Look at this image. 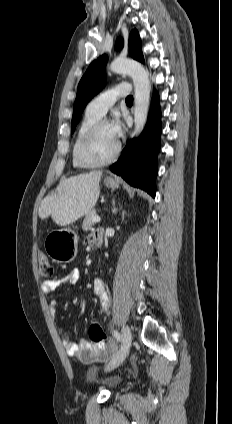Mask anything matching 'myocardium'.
I'll return each instance as SVG.
<instances>
[{
    "mask_svg": "<svg viewBox=\"0 0 232 424\" xmlns=\"http://www.w3.org/2000/svg\"><path fill=\"white\" fill-rule=\"evenodd\" d=\"M109 121L103 118L98 119L96 122H94L88 130L85 132V134L82 136L78 148H77V157L80 163L87 168H94V167H101L108 165L112 163L116 158L118 157L120 150H121V143L117 141L116 148L114 152L107 158L102 160H92L87 155V148L97 132L104 126L108 125Z\"/></svg>",
    "mask_w": 232,
    "mask_h": 424,
    "instance_id": "myocardium-1",
    "label": "myocardium"
}]
</instances>
